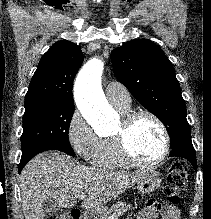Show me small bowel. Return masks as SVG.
<instances>
[{
	"mask_svg": "<svg viewBox=\"0 0 211 219\" xmlns=\"http://www.w3.org/2000/svg\"><path fill=\"white\" fill-rule=\"evenodd\" d=\"M137 219H180V214L175 208L164 207L154 200H150L138 214Z\"/></svg>",
	"mask_w": 211,
	"mask_h": 219,
	"instance_id": "small-bowel-1",
	"label": "small bowel"
}]
</instances>
